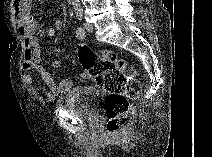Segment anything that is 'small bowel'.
I'll list each match as a JSON object with an SVG mask.
<instances>
[{"instance_id":"small-bowel-1","label":"small bowel","mask_w":212,"mask_h":157,"mask_svg":"<svg viewBox=\"0 0 212 157\" xmlns=\"http://www.w3.org/2000/svg\"><path fill=\"white\" fill-rule=\"evenodd\" d=\"M32 4L31 0H15L12 4V13L24 41L22 68L25 71L33 70L39 74L45 85V99L53 102L56 98L66 94L71 89L72 83L69 79H63L56 84L52 74L41 64L40 44L36 36L39 22L32 11ZM62 27V20L56 19L53 26L46 30V36H55ZM22 80L28 86L34 85L32 77L27 73L22 76Z\"/></svg>"}]
</instances>
